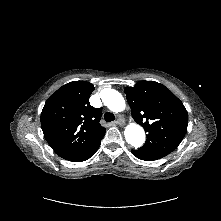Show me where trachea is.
Returning a JSON list of instances; mask_svg holds the SVG:
<instances>
[{
	"mask_svg": "<svg viewBox=\"0 0 221 221\" xmlns=\"http://www.w3.org/2000/svg\"><path fill=\"white\" fill-rule=\"evenodd\" d=\"M104 119L106 122H111L115 120V116L112 113L107 112L104 114Z\"/></svg>",
	"mask_w": 221,
	"mask_h": 221,
	"instance_id": "1",
	"label": "trachea"
}]
</instances>
